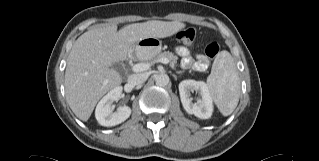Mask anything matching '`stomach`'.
<instances>
[{
	"mask_svg": "<svg viewBox=\"0 0 319 161\" xmlns=\"http://www.w3.org/2000/svg\"><path fill=\"white\" fill-rule=\"evenodd\" d=\"M161 49L162 43L155 37L144 38L134 45L135 54L141 60H151Z\"/></svg>",
	"mask_w": 319,
	"mask_h": 161,
	"instance_id": "0dacf381",
	"label": "stomach"
}]
</instances>
